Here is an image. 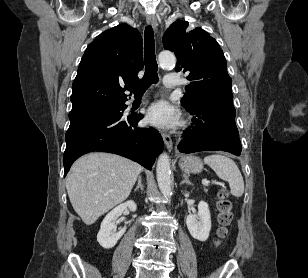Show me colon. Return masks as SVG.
I'll list each match as a JSON object with an SVG mask.
<instances>
[{
  "instance_id": "colon-1",
  "label": "colon",
  "mask_w": 308,
  "mask_h": 278,
  "mask_svg": "<svg viewBox=\"0 0 308 278\" xmlns=\"http://www.w3.org/2000/svg\"><path fill=\"white\" fill-rule=\"evenodd\" d=\"M218 210V237L220 239L226 237L228 233V227L233 222V206L229 199V195L226 189H221L218 195L217 201Z\"/></svg>"
}]
</instances>
